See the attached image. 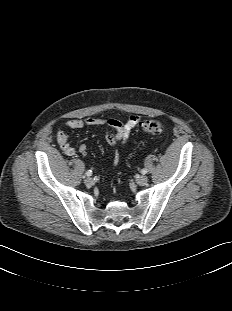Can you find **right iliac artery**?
Returning a JSON list of instances; mask_svg holds the SVG:
<instances>
[{"mask_svg":"<svg viewBox=\"0 0 232 311\" xmlns=\"http://www.w3.org/2000/svg\"><path fill=\"white\" fill-rule=\"evenodd\" d=\"M86 175H87V176H91V175H92V171H91V170H88V171L86 172Z\"/></svg>","mask_w":232,"mask_h":311,"instance_id":"1","label":"right iliac artery"}]
</instances>
